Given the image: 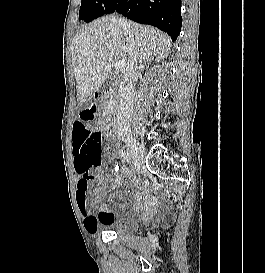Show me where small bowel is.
I'll return each mask as SVG.
<instances>
[{"mask_svg":"<svg viewBox=\"0 0 265 273\" xmlns=\"http://www.w3.org/2000/svg\"><path fill=\"white\" fill-rule=\"evenodd\" d=\"M94 119V109L87 102L83 101L78 110V121L73 125L72 140H73V156H74V170L77 174V191L76 201L78 208L84 219V227L90 234H96L102 227L114 220V216L108 208L99 192V188L107 183V178L99 174L83 173L79 169V154L76 150V129H89V124ZM122 171L128 172L127 166L124 164ZM90 179L95 180V186L89 187ZM121 177L115 179V184H120ZM143 200L140 196L135 199L134 207H140Z\"/></svg>","mask_w":265,"mask_h":273,"instance_id":"obj_1","label":"small bowel"}]
</instances>
